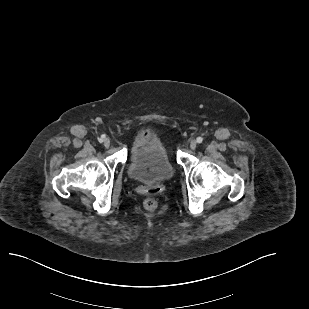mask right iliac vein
Listing matches in <instances>:
<instances>
[{
    "mask_svg": "<svg viewBox=\"0 0 309 309\" xmlns=\"http://www.w3.org/2000/svg\"><path fill=\"white\" fill-rule=\"evenodd\" d=\"M103 144H104V146H105L106 148H108V147L110 146V140H109L108 138H105V139L103 140Z\"/></svg>",
    "mask_w": 309,
    "mask_h": 309,
    "instance_id": "1",
    "label": "right iliac vein"
}]
</instances>
